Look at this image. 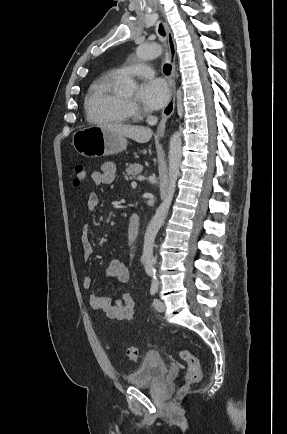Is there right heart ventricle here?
<instances>
[{
  "instance_id": "e07e8e85",
  "label": "right heart ventricle",
  "mask_w": 287,
  "mask_h": 434,
  "mask_svg": "<svg viewBox=\"0 0 287 434\" xmlns=\"http://www.w3.org/2000/svg\"><path fill=\"white\" fill-rule=\"evenodd\" d=\"M122 78L118 70H110L92 82L85 98V110L89 121L111 124L129 121L128 103L117 90Z\"/></svg>"
}]
</instances>
